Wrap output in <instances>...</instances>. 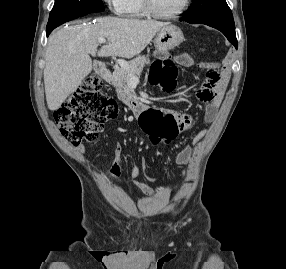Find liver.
<instances>
[{"mask_svg": "<svg viewBox=\"0 0 286 269\" xmlns=\"http://www.w3.org/2000/svg\"><path fill=\"white\" fill-rule=\"evenodd\" d=\"M169 24L154 20L103 17L93 24H77L51 34L43 73L48 108L52 111L58 109L81 85L92 70L90 54L132 58L139 55L153 37ZM100 38L107 39L108 43L97 51Z\"/></svg>", "mask_w": 286, "mask_h": 269, "instance_id": "1", "label": "liver"}]
</instances>
